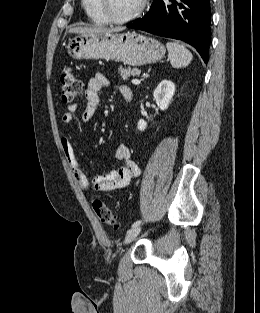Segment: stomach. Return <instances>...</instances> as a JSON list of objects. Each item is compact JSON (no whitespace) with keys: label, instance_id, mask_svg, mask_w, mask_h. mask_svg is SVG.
I'll return each instance as SVG.
<instances>
[{"label":"stomach","instance_id":"1","mask_svg":"<svg viewBox=\"0 0 260 313\" xmlns=\"http://www.w3.org/2000/svg\"><path fill=\"white\" fill-rule=\"evenodd\" d=\"M67 52L74 59H105L130 66L160 61L165 47L156 39L136 32L94 33L69 40Z\"/></svg>","mask_w":260,"mask_h":313}]
</instances>
